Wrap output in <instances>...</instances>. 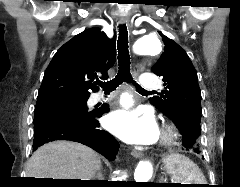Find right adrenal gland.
<instances>
[{
  "label": "right adrenal gland",
  "instance_id": "2a0ac1e0",
  "mask_svg": "<svg viewBox=\"0 0 240 187\" xmlns=\"http://www.w3.org/2000/svg\"><path fill=\"white\" fill-rule=\"evenodd\" d=\"M102 165L100 166V169L98 170L96 176L94 177V180H103L104 177H103V174H102Z\"/></svg>",
  "mask_w": 240,
  "mask_h": 187
}]
</instances>
